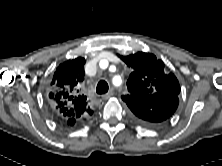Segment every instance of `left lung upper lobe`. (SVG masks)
Wrapping results in <instances>:
<instances>
[{"label": "left lung upper lobe", "instance_id": "left-lung-upper-lobe-1", "mask_svg": "<svg viewBox=\"0 0 222 166\" xmlns=\"http://www.w3.org/2000/svg\"><path fill=\"white\" fill-rule=\"evenodd\" d=\"M120 58L133 70L127 81L129 94L121 97L129 108L132 106V96L155 102L160 97L179 95L177 78L173 73L165 72L164 63L153 54L138 52Z\"/></svg>", "mask_w": 222, "mask_h": 166}]
</instances>
